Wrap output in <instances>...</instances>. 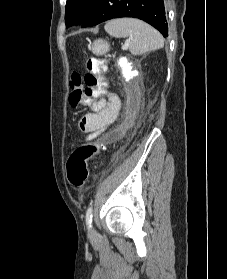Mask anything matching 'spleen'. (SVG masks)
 <instances>
[{
  "label": "spleen",
  "instance_id": "3e777b00",
  "mask_svg": "<svg viewBox=\"0 0 227 279\" xmlns=\"http://www.w3.org/2000/svg\"><path fill=\"white\" fill-rule=\"evenodd\" d=\"M104 29L113 37H129V49L133 55L161 49L164 46L161 34L138 19H114L107 22Z\"/></svg>",
  "mask_w": 227,
  "mask_h": 279
}]
</instances>
